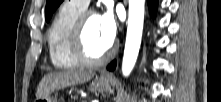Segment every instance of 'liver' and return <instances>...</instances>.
Segmentation results:
<instances>
[{"label": "liver", "instance_id": "liver-1", "mask_svg": "<svg viewBox=\"0 0 221 102\" xmlns=\"http://www.w3.org/2000/svg\"><path fill=\"white\" fill-rule=\"evenodd\" d=\"M94 75V72L84 70H66L47 74L38 85L36 98H47L55 90L85 83L91 80Z\"/></svg>", "mask_w": 221, "mask_h": 102}]
</instances>
